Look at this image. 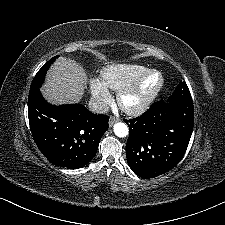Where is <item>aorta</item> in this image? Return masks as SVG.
Returning <instances> with one entry per match:
<instances>
[{"label":"aorta","instance_id":"762f6f07","mask_svg":"<svg viewBox=\"0 0 225 225\" xmlns=\"http://www.w3.org/2000/svg\"><path fill=\"white\" fill-rule=\"evenodd\" d=\"M113 131L118 137H126L129 134L128 126L122 122L116 123L113 127Z\"/></svg>","mask_w":225,"mask_h":225}]
</instances>
